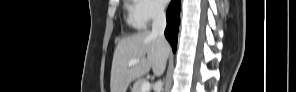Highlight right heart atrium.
<instances>
[{"mask_svg": "<svg viewBox=\"0 0 296 92\" xmlns=\"http://www.w3.org/2000/svg\"><path fill=\"white\" fill-rule=\"evenodd\" d=\"M133 15L136 21L144 27L161 19L164 9L157 1L135 0L133 1Z\"/></svg>", "mask_w": 296, "mask_h": 92, "instance_id": "1", "label": "right heart atrium"}]
</instances>
